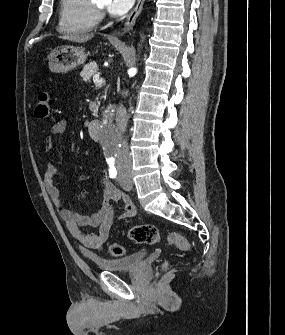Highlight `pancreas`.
Here are the masks:
<instances>
[{
    "mask_svg": "<svg viewBox=\"0 0 285 335\" xmlns=\"http://www.w3.org/2000/svg\"><path fill=\"white\" fill-rule=\"evenodd\" d=\"M95 72H98L97 64H87V66H84V70L80 71L79 76L83 78L82 82L84 84H92ZM96 110H99V107H96ZM96 114H99V111H96ZM96 114H93V117H96Z\"/></svg>",
    "mask_w": 285,
    "mask_h": 335,
    "instance_id": "obj_1",
    "label": "pancreas"
}]
</instances>
